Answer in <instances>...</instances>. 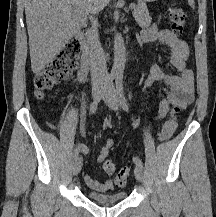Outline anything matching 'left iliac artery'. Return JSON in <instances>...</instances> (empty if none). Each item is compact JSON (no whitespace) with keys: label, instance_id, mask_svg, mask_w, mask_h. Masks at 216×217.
Segmentation results:
<instances>
[{"label":"left iliac artery","instance_id":"44dca946","mask_svg":"<svg viewBox=\"0 0 216 217\" xmlns=\"http://www.w3.org/2000/svg\"><path fill=\"white\" fill-rule=\"evenodd\" d=\"M115 83H116V91H117V95H118L120 105L126 112H129V107H128V104L126 102L125 95H124V90H123V76L122 75H117ZM133 125H134V127L136 126L135 121H134ZM133 161H134L135 164L142 166V161H141L140 158L133 157Z\"/></svg>","mask_w":216,"mask_h":217}]
</instances>
